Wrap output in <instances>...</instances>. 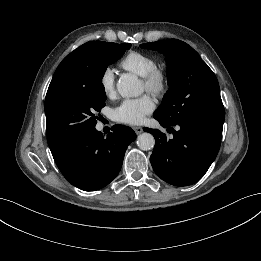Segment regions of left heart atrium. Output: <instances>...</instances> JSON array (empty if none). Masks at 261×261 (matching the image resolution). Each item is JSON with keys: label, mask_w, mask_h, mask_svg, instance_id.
I'll list each match as a JSON object with an SVG mask.
<instances>
[{"label": "left heart atrium", "mask_w": 261, "mask_h": 261, "mask_svg": "<svg viewBox=\"0 0 261 261\" xmlns=\"http://www.w3.org/2000/svg\"><path fill=\"white\" fill-rule=\"evenodd\" d=\"M154 109V101L147 95L126 99L113 110V118L120 123L137 125L141 124Z\"/></svg>", "instance_id": "left-heart-atrium-1"}]
</instances>
